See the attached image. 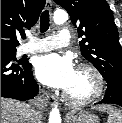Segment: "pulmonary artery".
Segmentation results:
<instances>
[{
  "label": "pulmonary artery",
  "instance_id": "obj_1",
  "mask_svg": "<svg viewBox=\"0 0 122 123\" xmlns=\"http://www.w3.org/2000/svg\"><path fill=\"white\" fill-rule=\"evenodd\" d=\"M70 33L67 29L60 30L54 36L31 38V41L20 47V54H34L66 47L70 43Z\"/></svg>",
  "mask_w": 122,
  "mask_h": 123
}]
</instances>
